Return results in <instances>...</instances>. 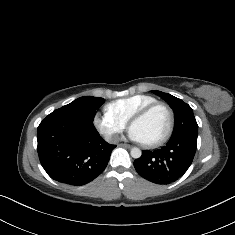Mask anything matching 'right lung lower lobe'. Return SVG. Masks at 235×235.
Masks as SVG:
<instances>
[{
    "label": "right lung lower lobe",
    "instance_id": "1",
    "mask_svg": "<svg viewBox=\"0 0 235 235\" xmlns=\"http://www.w3.org/2000/svg\"><path fill=\"white\" fill-rule=\"evenodd\" d=\"M38 155L47 174L61 183L81 186L106 168L111 151L93 121L53 111L38 126Z\"/></svg>",
    "mask_w": 235,
    "mask_h": 235
}]
</instances>
